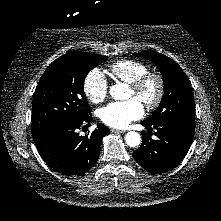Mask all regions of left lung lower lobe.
Segmentation results:
<instances>
[{"label": "left lung lower lobe", "mask_w": 221, "mask_h": 221, "mask_svg": "<svg viewBox=\"0 0 221 221\" xmlns=\"http://www.w3.org/2000/svg\"><path fill=\"white\" fill-rule=\"evenodd\" d=\"M141 124L152 130V139L143 131L140 148L133 152L136 162L150 173H163L173 169L187 154L194 137L195 127L173 121L147 122Z\"/></svg>", "instance_id": "1"}]
</instances>
